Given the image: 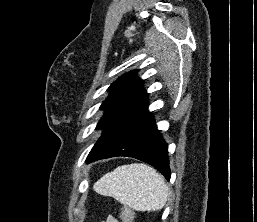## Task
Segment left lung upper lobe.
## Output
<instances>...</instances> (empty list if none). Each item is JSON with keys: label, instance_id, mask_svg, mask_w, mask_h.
Listing matches in <instances>:
<instances>
[{"label": "left lung upper lobe", "instance_id": "5c2ea615", "mask_svg": "<svg viewBox=\"0 0 257 222\" xmlns=\"http://www.w3.org/2000/svg\"><path fill=\"white\" fill-rule=\"evenodd\" d=\"M137 72L122 75L108 88L111 93L100 107L105 112L96 127L103 132L88 157L100 151L128 122L147 109L148 93L143 89L144 81L135 77Z\"/></svg>", "mask_w": 257, "mask_h": 222}]
</instances>
